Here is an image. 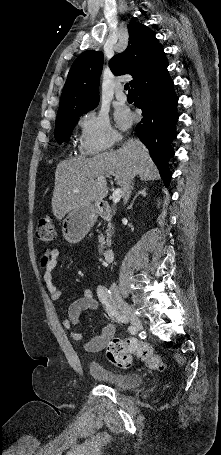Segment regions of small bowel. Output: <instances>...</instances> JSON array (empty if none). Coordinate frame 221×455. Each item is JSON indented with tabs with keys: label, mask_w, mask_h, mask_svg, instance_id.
I'll use <instances>...</instances> for the list:
<instances>
[{
	"label": "small bowel",
	"mask_w": 221,
	"mask_h": 455,
	"mask_svg": "<svg viewBox=\"0 0 221 455\" xmlns=\"http://www.w3.org/2000/svg\"><path fill=\"white\" fill-rule=\"evenodd\" d=\"M59 251L57 248H47L42 251L39 257V270L45 283L49 296L52 300H58L61 297L60 289L54 284L52 271L57 265ZM98 308V301L94 298L91 289H84L80 298L73 301L69 308L67 317L63 320V327L70 331V336L75 341L83 339V333L74 327L79 323L80 316L84 311L95 310ZM115 326L112 323L107 324L100 335L91 338L85 345L88 352H98L102 350L113 338Z\"/></svg>",
	"instance_id": "small-bowel-1"
}]
</instances>
